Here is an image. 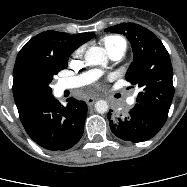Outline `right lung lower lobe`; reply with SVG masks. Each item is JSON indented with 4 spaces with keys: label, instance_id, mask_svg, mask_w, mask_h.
<instances>
[{
    "label": "right lung lower lobe",
    "instance_id": "1",
    "mask_svg": "<svg viewBox=\"0 0 187 187\" xmlns=\"http://www.w3.org/2000/svg\"><path fill=\"white\" fill-rule=\"evenodd\" d=\"M63 106L52 95L18 109L28 135L41 147L63 151L82 137L87 116L84 101L68 98Z\"/></svg>",
    "mask_w": 187,
    "mask_h": 187
}]
</instances>
